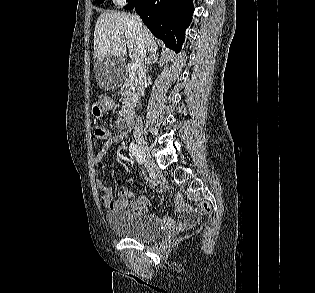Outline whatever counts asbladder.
<instances>
[{
	"label": "bladder",
	"mask_w": 315,
	"mask_h": 293,
	"mask_svg": "<svg viewBox=\"0 0 315 293\" xmlns=\"http://www.w3.org/2000/svg\"><path fill=\"white\" fill-rule=\"evenodd\" d=\"M106 220L116 235L138 241L153 240L162 232L155 218L127 208L109 211Z\"/></svg>",
	"instance_id": "1"
}]
</instances>
